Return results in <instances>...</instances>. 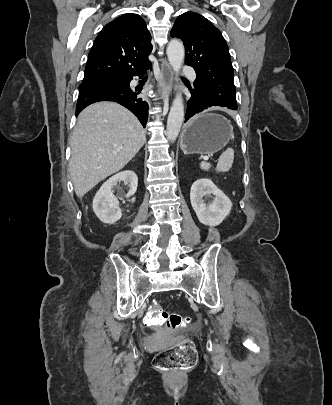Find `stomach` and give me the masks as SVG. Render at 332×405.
<instances>
[{"label":"stomach","mask_w":332,"mask_h":405,"mask_svg":"<svg viewBox=\"0 0 332 405\" xmlns=\"http://www.w3.org/2000/svg\"><path fill=\"white\" fill-rule=\"evenodd\" d=\"M232 136V126L223 116L205 111L186 125L180 146L185 154L211 155L224 148Z\"/></svg>","instance_id":"0dacf381"}]
</instances>
